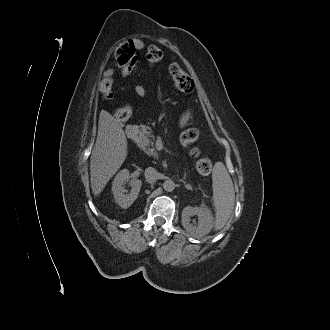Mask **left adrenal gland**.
Here are the masks:
<instances>
[{"label":"left adrenal gland","mask_w":330,"mask_h":330,"mask_svg":"<svg viewBox=\"0 0 330 330\" xmlns=\"http://www.w3.org/2000/svg\"><path fill=\"white\" fill-rule=\"evenodd\" d=\"M184 184H185V182H184ZM185 188H187V189H189V190H192V188H191L190 185H188V184H185Z\"/></svg>","instance_id":"a2214340"}]
</instances>
